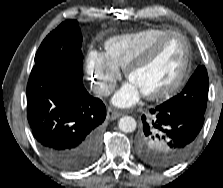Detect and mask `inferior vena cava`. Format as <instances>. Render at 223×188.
Segmentation results:
<instances>
[{
	"label": "inferior vena cava",
	"mask_w": 223,
	"mask_h": 188,
	"mask_svg": "<svg viewBox=\"0 0 223 188\" xmlns=\"http://www.w3.org/2000/svg\"><path fill=\"white\" fill-rule=\"evenodd\" d=\"M91 90L98 97L108 96L114 91V86L105 83H96L92 86Z\"/></svg>",
	"instance_id": "602c4592"
}]
</instances>
